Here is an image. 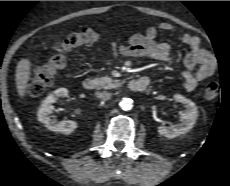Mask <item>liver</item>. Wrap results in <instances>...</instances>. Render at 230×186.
Returning <instances> with one entry per match:
<instances>
[{
    "label": "liver",
    "instance_id": "1",
    "mask_svg": "<svg viewBox=\"0 0 230 186\" xmlns=\"http://www.w3.org/2000/svg\"><path fill=\"white\" fill-rule=\"evenodd\" d=\"M30 76H31V62L29 59L22 58L17 64L16 73H15L16 88L21 98L24 97L27 91L28 81L30 80Z\"/></svg>",
    "mask_w": 230,
    "mask_h": 186
}]
</instances>
